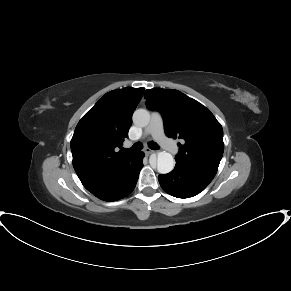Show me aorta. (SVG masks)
Instances as JSON below:
<instances>
[{
  "label": "aorta",
  "mask_w": 291,
  "mask_h": 291,
  "mask_svg": "<svg viewBox=\"0 0 291 291\" xmlns=\"http://www.w3.org/2000/svg\"><path fill=\"white\" fill-rule=\"evenodd\" d=\"M133 122L139 127H145L150 122V114L145 109H137L133 114ZM175 160L173 156L166 152H159L157 155V171L160 174H167L174 168Z\"/></svg>",
  "instance_id": "762f6f07"
}]
</instances>
